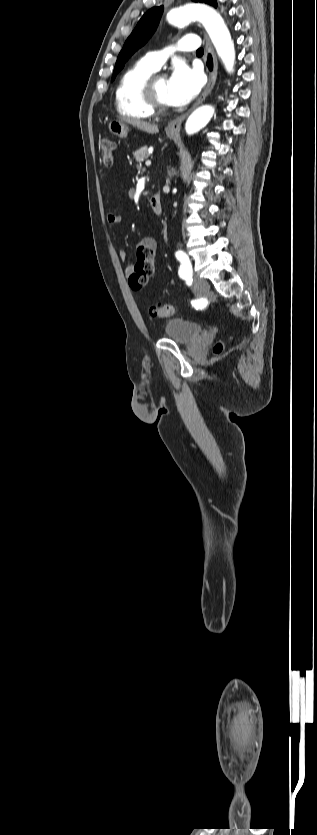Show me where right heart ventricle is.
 I'll return each mask as SVG.
<instances>
[{"mask_svg":"<svg viewBox=\"0 0 317 835\" xmlns=\"http://www.w3.org/2000/svg\"><path fill=\"white\" fill-rule=\"evenodd\" d=\"M155 71L141 59L122 74L115 92L116 108L121 115L134 119H147L154 115L143 96V86Z\"/></svg>","mask_w":317,"mask_h":835,"instance_id":"e07e8e85","label":"right heart ventricle"}]
</instances>
